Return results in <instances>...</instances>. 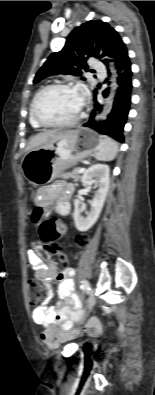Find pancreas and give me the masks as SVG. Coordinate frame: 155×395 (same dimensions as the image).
Masks as SVG:
<instances>
[{
	"mask_svg": "<svg viewBox=\"0 0 155 395\" xmlns=\"http://www.w3.org/2000/svg\"><path fill=\"white\" fill-rule=\"evenodd\" d=\"M79 168H74L72 171L70 172H66L60 175V178L63 179H69L72 178L75 182L78 181L80 179V175L78 173Z\"/></svg>",
	"mask_w": 155,
	"mask_h": 395,
	"instance_id": "obj_1",
	"label": "pancreas"
}]
</instances>
